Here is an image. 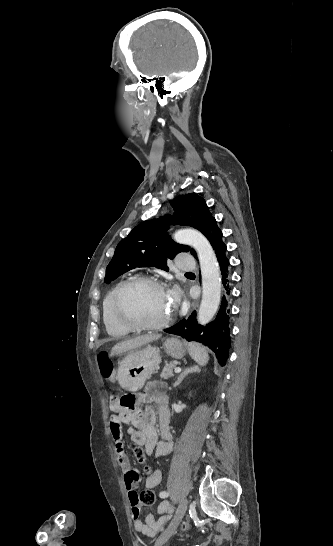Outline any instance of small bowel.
Segmentation results:
<instances>
[{
    "label": "small bowel",
    "instance_id": "1",
    "mask_svg": "<svg viewBox=\"0 0 333 546\" xmlns=\"http://www.w3.org/2000/svg\"><path fill=\"white\" fill-rule=\"evenodd\" d=\"M118 371L112 370L109 379L117 380ZM164 384L160 382L149 383L144 391L138 396L140 405H146L142 410L139 406L124 407L113 404L114 414L110 417V433L114 440L118 464L123 472L124 486L128 493L133 518L134 529L147 536H155L170 522L173 507L168 502H162L157 507V512L163 515L156 520L152 513H149L144 520L140 519L141 506L137 492L141 476L137 469L131 466L125 449L123 425H127V433L132 442L141 446L148 454H155L156 457L168 455L173 448L172 435L169 430V407L168 396L164 391ZM156 404L158 411L155 412L151 405ZM161 481V473L156 470L146 479L147 488H155Z\"/></svg>",
    "mask_w": 333,
    "mask_h": 546
}]
</instances>
